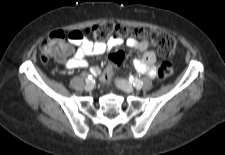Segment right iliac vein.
I'll return each mask as SVG.
<instances>
[{"label":"right iliac vein","instance_id":"1","mask_svg":"<svg viewBox=\"0 0 225 155\" xmlns=\"http://www.w3.org/2000/svg\"><path fill=\"white\" fill-rule=\"evenodd\" d=\"M93 87H94L93 84L91 82H89L85 85V90L90 92V91H92Z\"/></svg>","mask_w":225,"mask_h":155}]
</instances>
